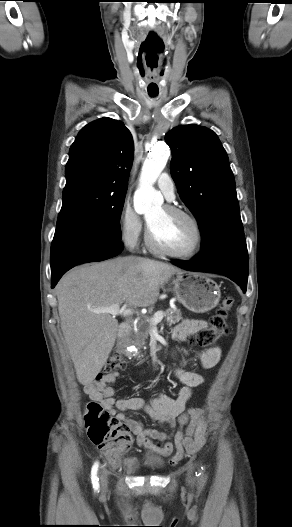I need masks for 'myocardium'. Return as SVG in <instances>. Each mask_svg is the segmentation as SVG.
<instances>
[{
    "label": "myocardium",
    "instance_id": "obj_1",
    "mask_svg": "<svg viewBox=\"0 0 292 527\" xmlns=\"http://www.w3.org/2000/svg\"><path fill=\"white\" fill-rule=\"evenodd\" d=\"M163 208L167 212L181 215L187 218L191 222V224L194 227V231H195L194 243L187 251L177 252V251L169 250L156 242L151 232V229L148 225L147 230H146V235H145V241H146L148 248L155 253L168 256V257H172V258H177V259H190L194 257L201 250L203 241H204V233H203V229H202V226L199 220L193 213H191L190 211L184 208L174 206V205H164Z\"/></svg>",
    "mask_w": 292,
    "mask_h": 527
}]
</instances>
